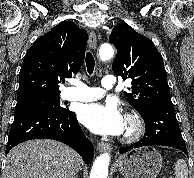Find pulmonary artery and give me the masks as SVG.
<instances>
[{"mask_svg":"<svg viewBox=\"0 0 194 178\" xmlns=\"http://www.w3.org/2000/svg\"><path fill=\"white\" fill-rule=\"evenodd\" d=\"M104 89H111L115 85L113 76H105L101 80ZM104 90L97 87H89L82 82H76L75 87L69 88L64 92V99L70 101L88 102L101 98Z\"/></svg>","mask_w":194,"mask_h":178,"instance_id":"pulmonary-artery-1","label":"pulmonary artery"}]
</instances>
